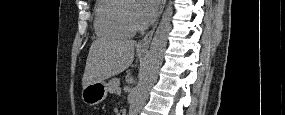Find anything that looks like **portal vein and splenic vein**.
I'll use <instances>...</instances> for the list:
<instances>
[{
	"instance_id": "1",
	"label": "portal vein and splenic vein",
	"mask_w": 285,
	"mask_h": 115,
	"mask_svg": "<svg viewBox=\"0 0 285 115\" xmlns=\"http://www.w3.org/2000/svg\"><path fill=\"white\" fill-rule=\"evenodd\" d=\"M121 91V89H120V87L118 88V90H117V92H120Z\"/></svg>"
}]
</instances>
